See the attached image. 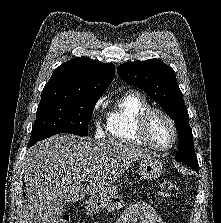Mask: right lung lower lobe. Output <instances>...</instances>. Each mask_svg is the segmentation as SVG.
<instances>
[{
  "mask_svg": "<svg viewBox=\"0 0 221 223\" xmlns=\"http://www.w3.org/2000/svg\"><path fill=\"white\" fill-rule=\"evenodd\" d=\"M31 146H32V145H29V144H28V147H31Z\"/></svg>",
  "mask_w": 221,
  "mask_h": 223,
  "instance_id": "98d812e1",
  "label": "right lung lower lobe"
}]
</instances>
